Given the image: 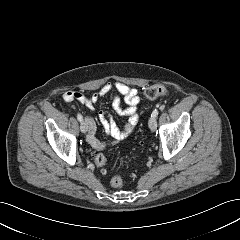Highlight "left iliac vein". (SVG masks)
Wrapping results in <instances>:
<instances>
[{
    "instance_id": "1",
    "label": "left iliac vein",
    "mask_w": 240,
    "mask_h": 240,
    "mask_svg": "<svg viewBox=\"0 0 240 240\" xmlns=\"http://www.w3.org/2000/svg\"><path fill=\"white\" fill-rule=\"evenodd\" d=\"M148 125L151 131H155L157 128L156 118L151 117L148 121Z\"/></svg>"
}]
</instances>
